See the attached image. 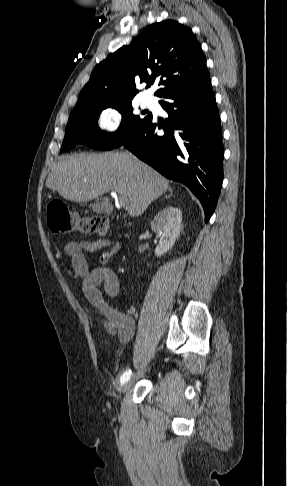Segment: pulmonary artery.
I'll return each mask as SVG.
<instances>
[{"label":"pulmonary artery","mask_w":287,"mask_h":486,"mask_svg":"<svg viewBox=\"0 0 287 486\" xmlns=\"http://www.w3.org/2000/svg\"><path fill=\"white\" fill-rule=\"evenodd\" d=\"M144 102H145V104H146V105H148V106H149V105H151V104H152V102H153V101H152V99H151V98H147V99H145V101H144Z\"/></svg>","instance_id":"e3ab8cb5"}]
</instances>
